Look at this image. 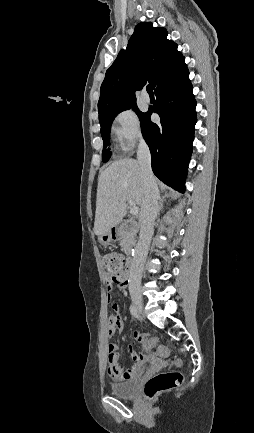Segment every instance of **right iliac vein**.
Wrapping results in <instances>:
<instances>
[{"instance_id":"63e3f726","label":"right iliac vein","mask_w":254,"mask_h":433,"mask_svg":"<svg viewBox=\"0 0 254 433\" xmlns=\"http://www.w3.org/2000/svg\"><path fill=\"white\" fill-rule=\"evenodd\" d=\"M131 298H132V301H133L136 309L139 312H142V310H143V299H142L141 295L138 292H132L131 293Z\"/></svg>"}]
</instances>
